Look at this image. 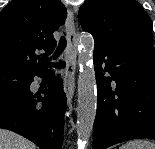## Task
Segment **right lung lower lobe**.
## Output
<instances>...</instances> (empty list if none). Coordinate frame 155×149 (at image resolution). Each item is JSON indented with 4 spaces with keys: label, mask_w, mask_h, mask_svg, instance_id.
Returning a JSON list of instances; mask_svg holds the SVG:
<instances>
[{
    "label": "right lung lower lobe",
    "mask_w": 155,
    "mask_h": 149,
    "mask_svg": "<svg viewBox=\"0 0 155 149\" xmlns=\"http://www.w3.org/2000/svg\"><path fill=\"white\" fill-rule=\"evenodd\" d=\"M60 62L57 67H64ZM47 70L31 76L43 77ZM41 98L30 89L22 94L0 95V128L14 131L35 143L40 149H61L63 142L66 96L58 76L48 83ZM41 103L42 107H37Z\"/></svg>",
    "instance_id": "1"
}]
</instances>
